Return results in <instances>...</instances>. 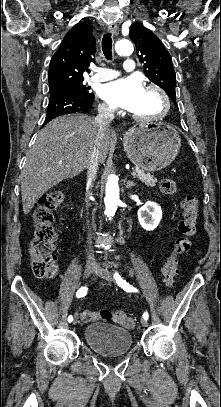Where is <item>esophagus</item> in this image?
<instances>
[{"mask_svg":"<svg viewBox=\"0 0 221 407\" xmlns=\"http://www.w3.org/2000/svg\"><path fill=\"white\" fill-rule=\"evenodd\" d=\"M108 30L113 34H117L119 32V27H118V25L116 23H111L108 26Z\"/></svg>","mask_w":221,"mask_h":407,"instance_id":"1","label":"esophagus"}]
</instances>
